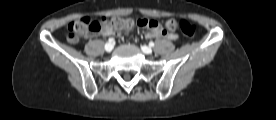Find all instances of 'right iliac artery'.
Segmentation results:
<instances>
[{"mask_svg":"<svg viewBox=\"0 0 276 120\" xmlns=\"http://www.w3.org/2000/svg\"><path fill=\"white\" fill-rule=\"evenodd\" d=\"M109 43H114L115 42V40L113 39V38H109Z\"/></svg>","mask_w":276,"mask_h":120,"instance_id":"obj_1","label":"right iliac artery"}]
</instances>
